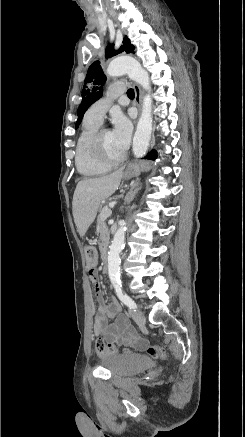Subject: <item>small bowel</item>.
I'll use <instances>...</instances> for the list:
<instances>
[{"label": "small bowel", "mask_w": 245, "mask_h": 437, "mask_svg": "<svg viewBox=\"0 0 245 437\" xmlns=\"http://www.w3.org/2000/svg\"><path fill=\"white\" fill-rule=\"evenodd\" d=\"M89 278L95 286V295L98 301L93 323L94 334L102 335L108 341L117 344L143 348L146 345V341L140 338L132 328L128 318L122 313L118 301L112 298L109 303L105 302L98 272L94 271L92 274H89ZM109 319H114V322L109 323Z\"/></svg>", "instance_id": "c3829d8e"}]
</instances>
